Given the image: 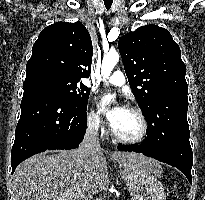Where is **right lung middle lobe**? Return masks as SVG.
Returning <instances> with one entry per match:
<instances>
[{
    "mask_svg": "<svg viewBox=\"0 0 205 200\" xmlns=\"http://www.w3.org/2000/svg\"><path fill=\"white\" fill-rule=\"evenodd\" d=\"M26 83H37L51 86L67 99V101L79 108H87L90 89L83 83H79V80H74L57 74H42L25 80L23 84Z\"/></svg>",
    "mask_w": 205,
    "mask_h": 200,
    "instance_id": "obj_1",
    "label": "right lung middle lobe"
}]
</instances>
